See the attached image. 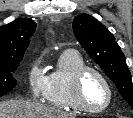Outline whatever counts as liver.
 Wrapping results in <instances>:
<instances>
[{"label":"liver","instance_id":"liver-1","mask_svg":"<svg viewBox=\"0 0 133 118\" xmlns=\"http://www.w3.org/2000/svg\"><path fill=\"white\" fill-rule=\"evenodd\" d=\"M0 118H76V115L40 103L7 100L0 102Z\"/></svg>","mask_w":133,"mask_h":118}]
</instances>
